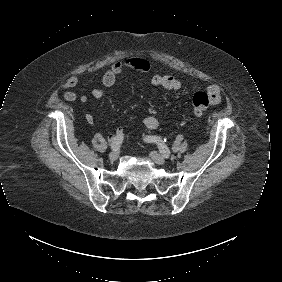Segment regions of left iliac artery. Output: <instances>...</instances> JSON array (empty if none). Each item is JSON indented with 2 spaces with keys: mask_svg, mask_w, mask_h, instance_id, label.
<instances>
[{
  "mask_svg": "<svg viewBox=\"0 0 282 282\" xmlns=\"http://www.w3.org/2000/svg\"><path fill=\"white\" fill-rule=\"evenodd\" d=\"M145 141H147L149 143H156L158 145L160 153L165 158H168L170 156L169 148L163 143V141L160 139V137H157V136H146L145 137Z\"/></svg>",
  "mask_w": 282,
  "mask_h": 282,
  "instance_id": "obj_1",
  "label": "left iliac artery"
}]
</instances>
